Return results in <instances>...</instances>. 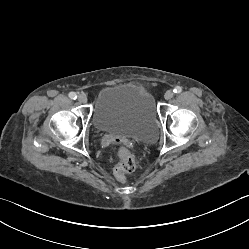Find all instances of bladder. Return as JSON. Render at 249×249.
<instances>
[{
    "instance_id": "1",
    "label": "bladder",
    "mask_w": 249,
    "mask_h": 249,
    "mask_svg": "<svg viewBox=\"0 0 249 249\" xmlns=\"http://www.w3.org/2000/svg\"><path fill=\"white\" fill-rule=\"evenodd\" d=\"M92 122L100 132L145 143L155 141L158 133V115L152 96L129 83L110 85L100 91Z\"/></svg>"
}]
</instances>
